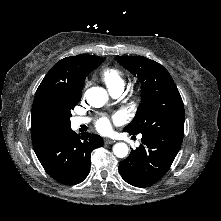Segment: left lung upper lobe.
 <instances>
[{
  "instance_id": "1",
  "label": "left lung upper lobe",
  "mask_w": 221,
  "mask_h": 221,
  "mask_svg": "<svg viewBox=\"0 0 221 221\" xmlns=\"http://www.w3.org/2000/svg\"><path fill=\"white\" fill-rule=\"evenodd\" d=\"M116 59L142 84L141 104L124 131L182 141L184 106L169 72L159 63L143 56Z\"/></svg>"
}]
</instances>
